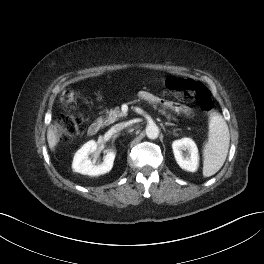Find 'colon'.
Listing matches in <instances>:
<instances>
[{
  "instance_id": "5ec220e1",
  "label": "colon",
  "mask_w": 264,
  "mask_h": 264,
  "mask_svg": "<svg viewBox=\"0 0 264 264\" xmlns=\"http://www.w3.org/2000/svg\"><path fill=\"white\" fill-rule=\"evenodd\" d=\"M166 87L183 101H195L202 110L210 112L213 108L212 96L209 90L202 84L190 79L169 77L165 81ZM62 102L65 106L71 107L76 103V96L72 90L64 91ZM83 118L81 116H64L57 128L59 138L66 142L74 136L83 132Z\"/></svg>"
}]
</instances>
